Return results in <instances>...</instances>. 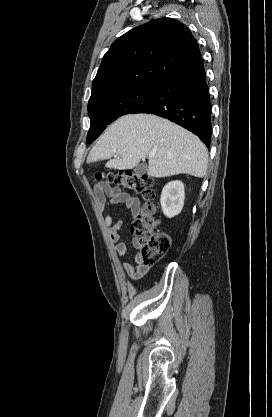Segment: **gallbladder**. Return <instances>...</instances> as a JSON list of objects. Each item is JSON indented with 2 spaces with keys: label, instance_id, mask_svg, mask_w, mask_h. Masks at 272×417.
I'll list each match as a JSON object with an SVG mask.
<instances>
[{
  "label": "gallbladder",
  "instance_id": "gallbladder-1",
  "mask_svg": "<svg viewBox=\"0 0 272 417\" xmlns=\"http://www.w3.org/2000/svg\"><path fill=\"white\" fill-rule=\"evenodd\" d=\"M134 172L136 175H143L147 172V165L144 163L138 164L134 168Z\"/></svg>",
  "mask_w": 272,
  "mask_h": 417
}]
</instances>
